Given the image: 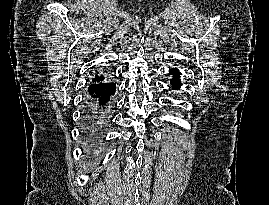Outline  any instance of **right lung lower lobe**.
Returning a JSON list of instances; mask_svg holds the SVG:
<instances>
[{"label":"right lung lower lobe","instance_id":"right-lung-lower-lobe-1","mask_svg":"<svg viewBox=\"0 0 269 205\" xmlns=\"http://www.w3.org/2000/svg\"><path fill=\"white\" fill-rule=\"evenodd\" d=\"M115 89L116 85L110 82L94 83L89 86L85 107V131L88 134L99 131Z\"/></svg>","mask_w":269,"mask_h":205}]
</instances>
